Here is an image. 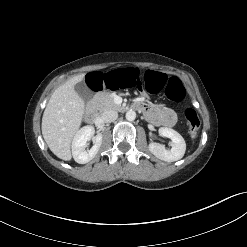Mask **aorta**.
<instances>
[{
	"mask_svg": "<svg viewBox=\"0 0 247 247\" xmlns=\"http://www.w3.org/2000/svg\"><path fill=\"white\" fill-rule=\"evenodd\" d=\"M135 118H136V112L135 111L129 110L126 112V119L128 121H133V120H135Z\"/></svg>",
	"mask_w": 247,
	"mask_h": 247,
	"instance_id": "obj_1",
	"label": "aorta"
}]
</instances>
